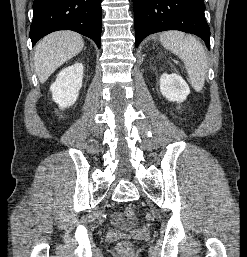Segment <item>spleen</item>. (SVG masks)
<instances>
[{
	"instance_id": "obj_1",
	"label": "spleen",
	"mask_w": 247,
	"mask_h": 257,
	"mask_svg": "<svg viewBox=\"0 0 247 257\" xmlns=\"http://www.w3.org/2000/svg\"><path fill=\"white\" fill-rule=\"evenodd\" d=\"M161 44L176 54L185 64L192 87L201 91L204 86L208 62L202 44L191 35L167 31L160 35Z\"/></svg>"
}]
</instances>
